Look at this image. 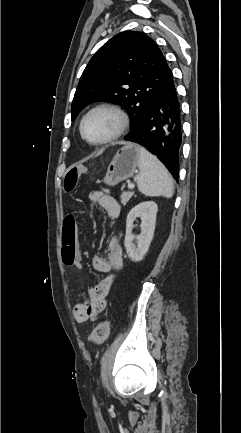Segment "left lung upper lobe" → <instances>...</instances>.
I'll use <instances>...</instances> for the list:
<instances>
[{"label":"left lung upper lobe","instance_id":"obj_1","mask_svg":"<svg viewBox=\"0 0 241 433\" xmlns=\"http://www.w3.org/2000/svg\"><path fill=\"white\" fill-rule=\"evenodd\" d=\"M157 44L136 31L117 34L91 58L76 89L71 119L89 103L111 100L128 111L135 129L169 72Z\"/></svg>","mask_w":241,"mask_h":433}]
</instances>
